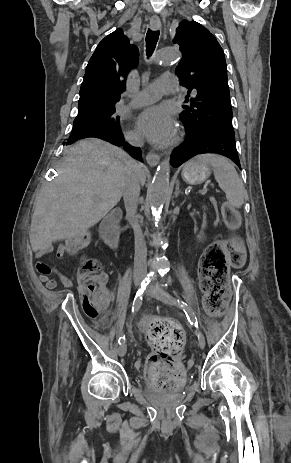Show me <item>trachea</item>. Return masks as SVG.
Listing matches in <instances>:
<instances>
[{
    "label": "trachea",
    "mask_w": 291,
    "mask_h": 463,
    "mask_svg": "<svg viewBox=\"0 0 291 463\" xmlns=\"http://www.w3.org/2000/svg\"><path fill=\"white\" fill-rule=\"evenodd\" d=\"M158 39L159 31H153L148 29L146 34V53L148 57L151 56L154 52Z\"/></svg>",
    "instance_id": "obj_1"
}]
</instances>
